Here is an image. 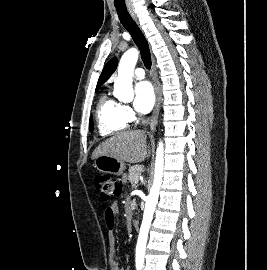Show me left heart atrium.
<instances>
[{
  "label": "left heart atrium",
  "instance_id": "obj_1",
  "mask_svg": "<svg viewBox=\"0 0 267 270\" xmlns=\"http://www.w3.org/2000/svg\"><path fill=\"white\" fill-rule=\"evenodd\" d=\"M155 103V92L148 81H142L135 86L134 107L139 113H148Z\"/></svg>",
  "mask_w": 267,
  "mask_h": 270
}]
</instances>
